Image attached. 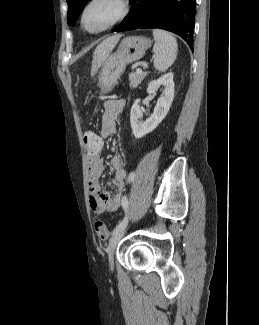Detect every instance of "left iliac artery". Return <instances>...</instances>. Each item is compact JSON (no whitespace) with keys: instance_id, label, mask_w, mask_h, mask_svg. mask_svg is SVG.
Wrapping results in <instances>:
<instances>
[{"instance_id":"left-iliac-artery-1","label":"left iliac artery","mask_w":259,"mask_h":325,"mask_svg":"<svg viewBox=\"0 0 259 325\" xmlns=\"http://www.w3.org/2000/svg\"><path fill=\"white\" fill-rule=\"evenodd\" d=\"M135 178V172H131L128 176V182H132ZM128 206H129V202L126 196L123 197L122 199V207L125 211V217L124 219L116 226V228L113 230L112 234H116L119 231H121L123 228H125V226L127 225L128 222Z\"/></svg>"}]
</instances>
